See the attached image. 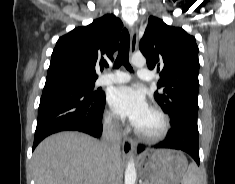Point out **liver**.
<instances>
[{
	"instance_id": "obj_1",
	"label": "liver",
	"mask_w": 235,
	"mask_h": 184,
	"mask_svg": "<svg viewBox=\"0 0 235 184\" xmlns=\"http://www.w3.org/2000/svg\"><path fill=\"white\" fill-rule=\"evenodd\" d=\"M32 166L35 184H101L113 180L120 158L87 134L59 132L37 146Z\"/></svg>"
}]
</instances>
